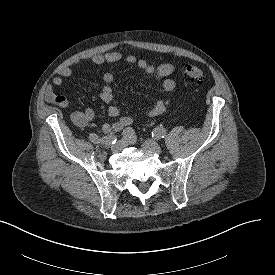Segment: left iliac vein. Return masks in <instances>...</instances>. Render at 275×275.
<instances>
[{"instance_id":"left-iliac-vein-1","label":"left iliac vein","mask_w":275,"mask_h":275,"mask_svg":"<svg viewBox=\"0 0 275 275\" xmlns=\"http://www.w3.org/2000/svg\"><path fill=\"white\" fill-rule=\"evenodd\" d=\"M142 147L148 151H151L153 153L156 154H161L162 153V149L160 147V145L152 140V139H147L142 143Z\"/></svg>"}]
</instances>
